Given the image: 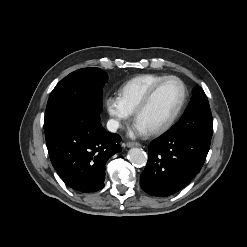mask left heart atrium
<instances>
[{"instance_id":"left-heart-atrium-1","label":"left heart atrium","mask_w":247,"mask_h":247,"mask_svg":"<svg viewBox=\"0 0 247 247\" xmlns=\"http://www.w3.org/2000/svg\"><path fill=\"white\" fill-rule=\"evenodd\" d=\"M147 133L148 131L136 121L132 129V135L143 136L146 135Z\"/></svg>"}]
</instances>
